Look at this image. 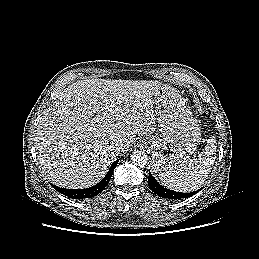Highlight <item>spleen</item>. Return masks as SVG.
<instances>
[{"label": "spleen", "instance_id": "1", "mask_svg": "<svg viewBox=\"0 0 259 259\" xmlns=\"http://www.w3.org/2000/svg\"><path fill=\"white\" fill-rule=\"evenodd\" d=\"M216 144L215 137H210L207 140L205 151L200 153L198 158L190 160L177 170L160 173L159 179L162 184L180 192H191L200 188L215 162Z\"/></svg>", "mask_w": 259, "mask_h": 259}]
</instances>
